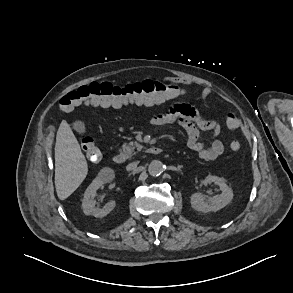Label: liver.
I'll return each instance as SVG.
<instances>
[{
    "label": "liver",
    "instance_id": "obj_1",
    "mask_svg": "<svg viewBox=\"0 0 293 293\" xmlns=\"http://www.w3.org/2000/svg\"><path fill=\"white\" fill-rule=\"evenodd\" d=\"M88 165L69 124L63 120L55 144V188L60 200L68 198L84 181Z\"/></svg>",
    "mask_w": 293,
    "mask_h": 293
}]
</instances>
